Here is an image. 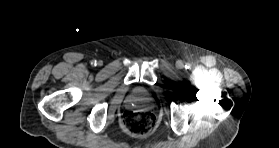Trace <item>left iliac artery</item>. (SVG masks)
I'll return each mask as SVG.
<instances>
[{
	"mask_svg": "<svg viewBox=\"0 0 279 148\" xmlns=\"http://www.w3.org/2000/svg\"><path fill=\"white\" fill-rule=\"evenodd\" d=\"M185 67H186V68H189V67H190V64H189V63H186Z\"/></svg>",
	"mask_w": 279,
	"mask_h": 148,
	"instance_id": "1",
	"label": "left iliac artery"
}]
</instances>
